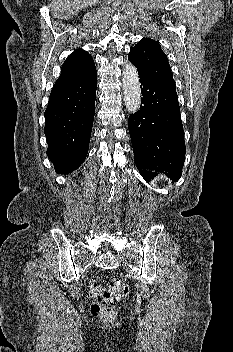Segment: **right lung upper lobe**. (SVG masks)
Wrapping results in <instances>:
<instances>
[{
  "label": "right lung upper lobe",
  "mask_w": 233,
  "mask_h": 352,
  "mask_svg": "<svg viewBox=\"0 0 233 352\" xmlns=\"http://www.w3.org/2000/svg\"><path fill=\"white\" fill-rule=\"evenodd\" d=\"M95 68L92 56L86 51L78 49L64 61L61 74L56 83L66 82L83 76Z\"/></svg>",
  "instance_id": "obj_1"
}]
</instances>
